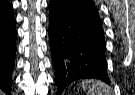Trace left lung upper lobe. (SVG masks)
I'll return each mask as SVG.
<instances>
[{"instance_id":"5c2ea615","label":"left lung upper lobe","mask_w":135,"mask_h":95,"mask_svg":"<svg viewBox=\"0 0 135 95\" xmlns=\"http://www.w3.org/2000/svg\"><path fill=\"white\" fill-rule=\"evenodd\" d=\"M50 4L57 9L100 24L99 14L93 0H51Z\"/></svg>"}]
</instances>
